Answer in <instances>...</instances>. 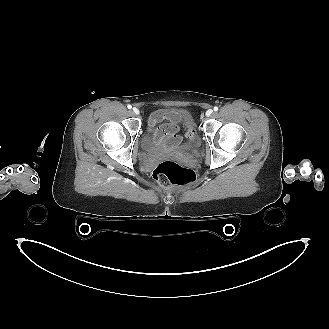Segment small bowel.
Instances as JSON below:
<instances>
[{"label": "small bowel", "mask_w": 329, "mask_h": 329, "mask_svg": "<svg viewBox=\"0 0 329 329\" xmlns=\"http://www.w3.org/2000/svg\"><path fill=\"white\" fill-rule=\"evenodd\" d=\"M156 118L151 117L149 121V125L156 123ZM176 126L175 125H158L157 131H156V137L158 141H162L163 138H166L167 144L169 146H173L177 143H179V136L175 133Z\"/></svg>", "instance_id": "c3829d8e"}]
</instances>
